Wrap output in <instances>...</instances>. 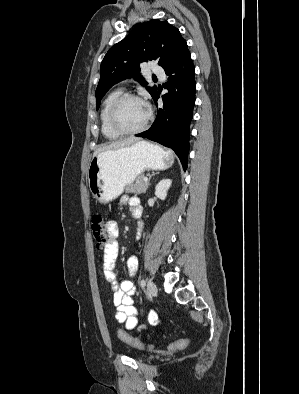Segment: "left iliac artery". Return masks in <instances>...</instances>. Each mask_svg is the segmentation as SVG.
I'll use <instances>...</instances> for the list:
<instances>
[{
  "mask_svg": "<svg viewBox=\"0 0 299 394\" xmlns=\"http://www.w3.org/2000/svg\"><path fill=\"white\" fill-rule=\"evenodd\" d=\"M140 285H141V287L142 288H144L145 287V285H146V282H145V280L143 279V280H141V282H140Z\"/></svg>",
  "mask_w": 299,
  "mask_h": 394,
  "instance_id": "obj_1",
  "label": "left iliac artery"
}]
</instances>
